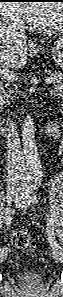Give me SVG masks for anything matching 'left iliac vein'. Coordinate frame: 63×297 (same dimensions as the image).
Returning <instances> with one entry per match:
<instances>
[{
    "instance_id": "obj_1",
    "label": "left iliac vein",
    "mask_w": 63,
    "mask_h": 297,
    "mask_svg": "<svg viewBox=\"0 0 63 297\" xmlns=\"http://www.w3.org/2000/svg\"><path fill=\"white\" fill-rule=\"evenodd\" d=\"M58 256V249L54 250V257Z\"/></svg>"
}]
</instances>
